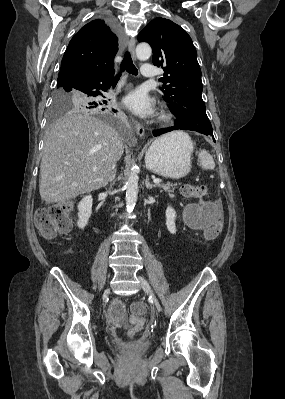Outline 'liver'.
Here are the masks:
<instances>
[{"label":"liver","instance_id":"liver-1","mask_svg":"<svg viewBox=\"0 0 285 399\" xmlns=\"http://www.w3.org/2000/svg\"><path fill=\"white\" fill-rule=\"evenodd\" d=\"M123 148L121 136L110 125L87 113L70 111L53 123L46 136L41 199L59 203L106 186Z\"/></svg>","mask_w":285,"mask_h":399}]
</instances>
